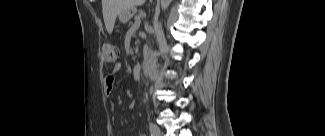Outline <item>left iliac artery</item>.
I'll list each match as a JSON object with an SVG mask.
<instances>
[{
  "label": "left iliac artery",
  "instance_id": "left-iliac-artery-1",
  "mask_svg": "<svg viewBox=\"0 0 325 136\" xmlns=\"http://www.w3.org/2000/svg\"><path fill=\"white\" fill-rule=\"evenodd\" d=\"M149 126H150L151 135L154 136L157 133L156 129L154 128V124L150 122Z\"/></svg>",
  "mask_w": 325,
  "mask_h": 136
}]
</instances>
